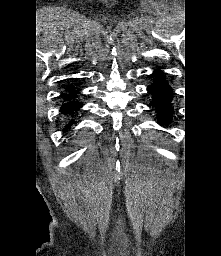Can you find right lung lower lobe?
Wrapping results in <instances>:
<instances>
[{"mask_svg": "<svg viewBox=\"0 0 221 256\" xmlns=\"http://www.w3.org/2000/svg\"><path fill=\"white\" fill-rule=\"evenodd\" d=\"M77 96V92L76 93H72L69 94L67 96H65V100H67V102H65L62 107H61V111L65 114V115H72L74 112H76L80 107L81 104L78 103V101H75V97ZM72 123H75V121L69 122V124L65 127V129L67 130L68 128H70V126L72 125Z\"/></svg>", "mask_w": 221, "mask_h": 256, "instance_id": "98d812e1", "label": "right lung lower lobe"}]
</instances>
